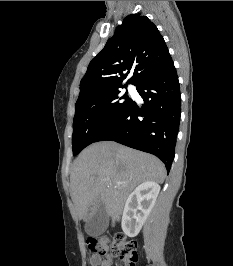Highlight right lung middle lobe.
I'll use <instances>...</instances> for the list:
<instances>
[{
    "instance_id": "right-lung-middle-lobe-1",
    "label": "right lung middle lobe",
    "mask_w": 233,
    "mask_h": 266,
    "mask_svg": "<svg viewBox=\"0 0 233 266\" xmlns=\"http://www.w3.org/2000/svg\"><path fill=\"white\" fill-rule=\"evenodd\" d=\"M126 93L108 90L77 100L73 119V155H77L111 126L132 104Z\"/></svg>"
}]
</instances>
